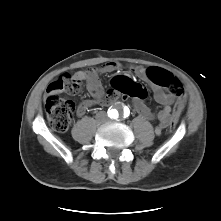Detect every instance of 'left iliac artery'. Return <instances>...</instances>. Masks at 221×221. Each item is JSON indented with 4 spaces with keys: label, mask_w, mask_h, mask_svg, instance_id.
Wrapping results in <instances>:
<instances>
[{
    "label": "left iliac artery",
    "mask_w": 221,
    "mask_h": 221,
    "mask_svg": "<svg viewBox=\"0 0 221 221\" xmlns=\"http://www.w3.org/2000/svg\"><path fill=\"white\" fill-rule=\"evenodd\" d=\"M128 115H129V109L126 107V108H124V117H127Z\"/></svg>",
    "instance_id": "1"
}]
</instances>
